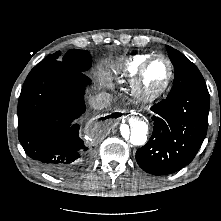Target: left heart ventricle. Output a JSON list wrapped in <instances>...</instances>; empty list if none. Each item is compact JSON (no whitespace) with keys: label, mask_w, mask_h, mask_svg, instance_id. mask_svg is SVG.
<instances>
[{"label":"left heart ventricle","mask_w":221,"mask_h":221,"mask_svg":"<svg viewBox=\"0 0 221 221\" xmlns=\"http://www.w3.org/2000/svg\"><path fill=\"white\" fill-rule=\"evenodd\" d=\"M169 75V66L163 59L155 60L147 69L143 86L147 91L160 89L166 82Z\"/></svg>","instance_id":"left-heart-ventricle-1"}]
</instances>
